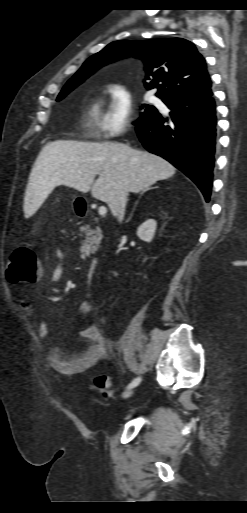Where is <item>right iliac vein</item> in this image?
<instances>
[{
  "mask_svg": "<svg viewBox=\"0 0 247 513\" xmlns=\"http://www.w3.org/2000/svg\"><path fill=\"white\" fill-rule=\"evenodd\" d=\"M133 393V390L132 389H128L126 390L123 394H122V398L123 399H128Z\"/></svg>",
  "mask_w": 247,
  "mask_h": 513,
  "instance_id": "1",
  "label": "right iliac vein"
}]
</instances>
